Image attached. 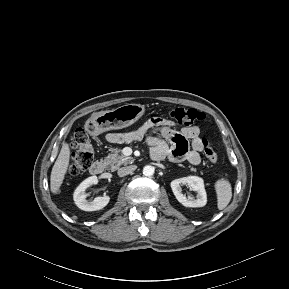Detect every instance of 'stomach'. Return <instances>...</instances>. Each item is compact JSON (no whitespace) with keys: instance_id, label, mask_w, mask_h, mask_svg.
I'll list each match as a JSON object with an SVG mask.
<instances>
[{"instance_id":"1","label":"stomach","mask_w":289,"mask_h":289,"mask_svg":"<svg viewBox=\"0 0 289 289\" xmlns=\"http://www.w3.org/2000/svg\"><path fill=\"white\" fill-rule=\"evenodd\" d=\"M144 112V105L126 104L92 116L86 121L85 129L92 136H97L108 130L122 129L138 121Z\"/></svg>"}]
</instances>
